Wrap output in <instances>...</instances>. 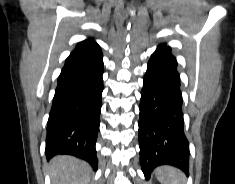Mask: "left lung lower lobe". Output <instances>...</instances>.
<instances>
[{
  "instance_id": "1",
  "label": "left lung lower lobe",
  "mask_w": 235,
  "mask_h": 184,
  "mask_svg": "<svg viewBox=\"0 0 235 184\" xmlns=\"http://www.w3.org/2000/svg\"><path fill=\"white\" fill-rule=\"evenodd\" d=\"M140 163L146 179L160 165L189 175V142L184 134L180 75L166 44L152 54L144 76L139 105Z\"/></svg>"
}]
</instances>
